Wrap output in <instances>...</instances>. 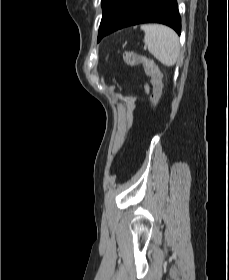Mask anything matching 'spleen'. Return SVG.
<instances>
[{
  "instance_id": "1",
  "label": "spleen",
  "mask_w": 229,
  "mask_h": 280,
  "mask_svg": "<svg viewBox=\"0 0 229 280\" xmlns=\"http://www.w3.org/2000/svg\"><path fill=\"white\" fill-rule=\"evenodd\" d=\"M144 43L148 51L166 66H173L179 57L180 47L177 34L169 27L158 24L142 25Z\"/></svg>"
}]
</instances>
